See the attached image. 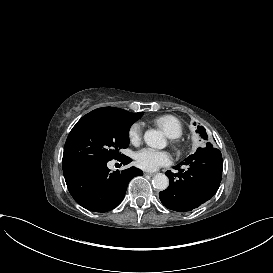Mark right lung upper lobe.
<instances>
[{
    "label": "right lung upper lobe",
    "mask_w": 273,
    "mask_h": 273,
    "mask_svg": "<svg viewBox=\"0 0 273 273\" xmlns=\"http://www.w3.org/2000/svg\"><path fill=\"white\" fill-rule=\"evenodd\" d=\"M92 112L103 116L113 117L129 124H133L135 121L140 119L141 115L143 114V112L130 113L126 110L114 107L98 108Z\"/></svg>",
    "instance_id": "right-lung-upper-lobe-1"
}]
</instances>
